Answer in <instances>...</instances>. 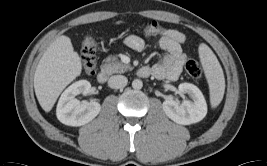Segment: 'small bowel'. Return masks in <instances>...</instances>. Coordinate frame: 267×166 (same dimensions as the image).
<instances>
[{"instance_id": "c3829d8e", "label": "small bowel", "mask_w": 267, "mask_h": 166, "mask_svg": "<svg viewBox=\"0 0 267 166\" xmlns=\"http://www.w3.org/2000/svg\"><path fill=\"white\" fill-rule=\"evenodd\" d=\"M185 41V35L175 29H169L156 38L155 44L165 51V55L157 64L145 67L148 69L149 74L160 80H177L186 60V55L182 49ZM124 43L137 52H142L147 47L144 39L137 35L127 36Z\"/></svg>"}]
</instances>
